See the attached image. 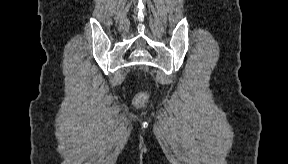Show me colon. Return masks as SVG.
<instances>
[{
    "label": "colon",
    "instance_id": "5ec220e1",
    "mask_svg": "<svg viewBox=\"0 0 288 164\" xmlns=\"http://www.w3.org/2000/svg\"><path fill=\"white\" fill-rule=\"evenodd\" d=\"M146 101H147V93L140 92L136 97L135 103L138 107H143Z\"/></svg>",
    "mask_w": 288,
    "mask_h": 164
}]
</instances>
